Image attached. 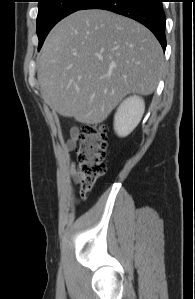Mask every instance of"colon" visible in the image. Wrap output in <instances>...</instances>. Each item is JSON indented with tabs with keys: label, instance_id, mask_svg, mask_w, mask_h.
I'll return each mask as SVG.
<instances>
[{
	"label": "colon",
	"instance_id": "1",
	"mask_svg": "<svg viewBox=\"0 0 195 299\" xmlns=\"http://www.w3.org/2000/svg\"><path fill=\"white\" fill-rule=\"evenodd\" d=\"M107 149L102 126L86 125L78 134L76 176L82 197H85L92 190L97 179L105 174Z\"/></svg>",
	"mask_w": 195,
	"mask_h": 299
}]
</instances>
